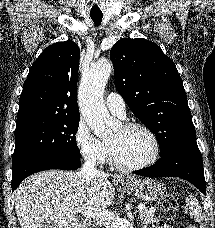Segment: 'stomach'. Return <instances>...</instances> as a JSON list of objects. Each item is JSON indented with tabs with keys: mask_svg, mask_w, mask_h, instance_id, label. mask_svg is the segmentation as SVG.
Wrapping results in <instances>:
<instances>
[{
	"mask_svg": "<svg viewBox=\"0 0 215 228\" xmlns=\"http://www.w3.org/2000/svg\"><path fill=\"white\" fill-rule=\"evenodd\" d=\"M120 182L127 186L134 196L144 200V202H155L159 196L164 194L159 180H150V178H147V180H133V178L122 176Z\"/></svg>",
	"mask_w": 215,
	"mask_h": 228,
	"instance_id": "stomach-1",
	"label": "stomach"
}]
</instances>
